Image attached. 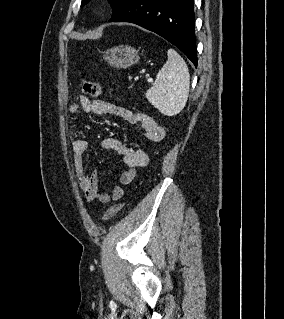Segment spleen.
<instances>
[{"instance_id": "obj_1", "label": "spleen", "mask_w": 284, "mask_h": 319, "mask_svg": "<svg viewBox=\"0 0 284 319\" xmlns=\"http://www.w3.org/2000/svg\"><path fill=\"white\" fill-rule=\"evenodd\" d=\"M167 55L168 60L147 90L146 98L162 114L173 116L186 105L190 76L185 61L175 50L169 49Z\"/></svg>"}]
</instances>
